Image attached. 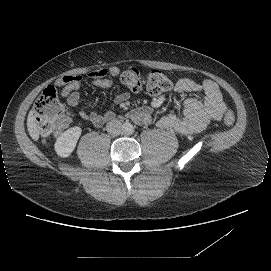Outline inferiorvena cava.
Returning a JSON list of instances; mask_svg holds the SVG:
<instances>
[{
  "label": "inferior vena cava",
  "instance_id": "602c4592",
  "mask_svg": "<svg viewBox=\"0 0 271 271\" xmlns=\"http://www.w3.org/2000/svg\"><path fill=\"white\" fill-rule=\"evenodd\" d=\"M121 122L117 119L111 120L107 125V131L113 135H119L121 133Z\"/></svg>",
  "mask_w": 271,
  "mask_h": 271
}]
</instances>
